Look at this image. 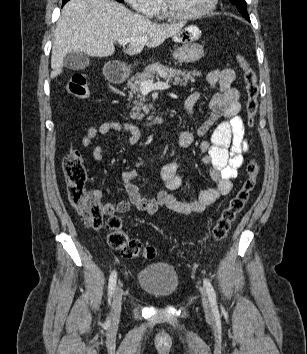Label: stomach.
Wrapping results in <instances>:
<instances>
[{"label":"stomach","instance_id":"0dacf381","mask_svg":"<svg viewBox=\"0 0 307 354\" xmlns=\"http://www.w3.org/2000/svg\"><path fill=\"white\" fill-rule=\"evenodd\" d=\"M200 33L201 31L198 27L190 25L174 36L173 40L182 44V46L177 48L173 53V56L177 61L182 63H192L203 57V46L194 42L199 38ZM128 73L129 69L127 67L120 68L121 76H125Z\"/></svg>","mask_w":307,"mask_h":354}]
</instances>
